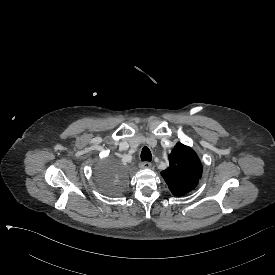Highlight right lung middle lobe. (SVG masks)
Wrapping results in <instances>:
<instances>
[{"label": "right lung middle lobe", "instance_id": "dd1d6c3e", "mask_svg": "<svg viewBox=\"0 0 275 275\" xmlns=\"http://www.w3.org/2000/svg\"><path fill=\"white\" fill-rule=\"evenodd\" d=\"M94 170L103 192L113 196L129 182L127 164L116 154H103L94 163Z\"/></svg>", "mask_w": 275, "mask_h": 275}]
</instances>
